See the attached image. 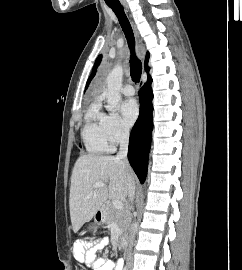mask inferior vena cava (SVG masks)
Returning <instances> with one entry per match:
<instances>
[{
	"instance_id": "602c4592",
	"label": "inferior vena cava",
	"mask_w": 242,
	"mask_h": 270,
	"mask_svg": "<svg viewBox=\"0 0 242 270\" xmlns=\"http://www.w3.org/2000/svg\"><path fill=\"white\" fill-rule=\"evenodd\" d=\"M128 143H129V130L124 129L120 137V148H119V152L117 153L116 159L122 160L125 163V165L128 168H130L128 164V160H127ZM134 197H135V184L133 182H130L129 188H128V198L131 204H133ZM130 210H133L132 205L129 206V211ZM129 211H128V214H129ZM136 227H137L136 223H132L130 226V236H129L130 244H129V249L127 253V265L129 268L132 267L133 258H132L131 250H132V246L135 240Z\"/></svg>"
}]
</instances>
